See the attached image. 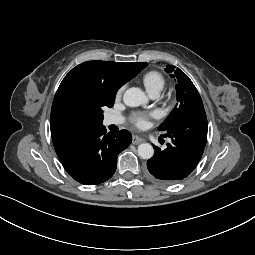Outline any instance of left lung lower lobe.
<instances>
[{
    "label": "left lung lower lobe",
    "instance_id": "left-lung-lower-lobe-1",
    "mask_svg": "<svg viewBox=\"0 0 255 255\" xmlns=\"http://www.w3.org/2000/svg\"><path fill=\"white\" fill-rule=\"evenodd\" d=\"M207 117L204 108L182 119L164 134L172 142L165 150L154 147L147 161L151 176L161 183H177L188 177L197 166L207 140Z\"/></svg>",
    "mask_w": 255,
    "mask_h": 255
}]
</instances>
